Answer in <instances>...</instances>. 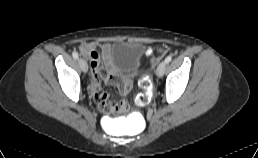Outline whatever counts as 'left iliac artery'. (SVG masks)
Listing matches in <instances>:
<instances>
[{"instance_id": "44dca946", "label": "left iliac artery", "mask_w": 258, "mask_h": 158, "mask_svg": "<svg viewBox=\"0 0 258 158\" xmlns=\"http://www.w3.org/2000/svg\"><path fill=\"white\" fill-rule=\"evenodd\" d=\"M171 60H172V56L169 55V56L166 57V59H165L164 62L167 64V63H169Z\"/></svg>"}]
</instances>
